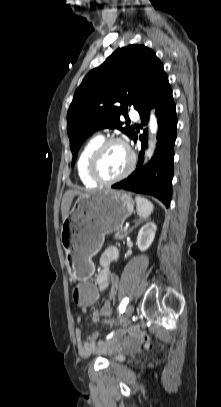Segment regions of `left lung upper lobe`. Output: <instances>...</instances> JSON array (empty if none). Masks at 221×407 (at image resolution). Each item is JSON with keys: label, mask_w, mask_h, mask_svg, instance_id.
Returning <instances> with one entry per match:
<instances>
[{"label": "left lung upper lobe", "mask_w": 221, "mask_h": 407, "mask_svg": "<svg viewBox=\"0 0 221 407\" xmlns=\"http://www.w3.org/2000/svg\"><path fill=\"white\" fill-rule=\"evenodd\" d=\"M166 76L154 51L136 44L117 49L90 71L76 89L67 114L72 165L82 142L96 130L117 128L132 138L135 130L122 126L120 114L127 113L128 105L139 111Z\"/></svg>", "instance_id": "obj_1"}]
</instances>
